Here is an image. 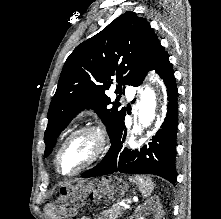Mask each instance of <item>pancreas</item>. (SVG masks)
Instances as JSON below:
<instances>
[{"label": "pancreas", "instance_id": "1", "mask_svg": "<svg viewBox=\"0 0 221 219\" xmlns=\"http://www.w3.org/2000/svg\"><path fill=\"white\" fill-rule=\"evenodd\" d=\"M123 208L119 204L113 205L108 210H104L100 214L104 216V219H117L121 216Z\"/></svg>", "mask_w": 221, "mask_h": 219}]
</instances>
